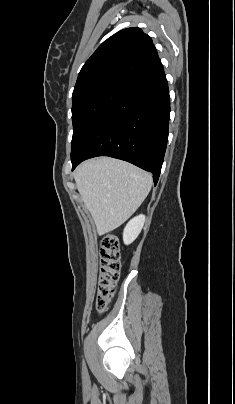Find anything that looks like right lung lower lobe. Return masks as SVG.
Wrapping results in <instances>:
<instances>
[{
    "label": "right lung lower lobe",
    "mask_w": 235,
    "mask_h": 404,
    "mask_svg": "<svg viewBox=\"0 0 235 404\" xmlns=\"http://www.w3.org/2000/svg\"><path fill=\"white\" fill-rule=\"evenodd\" d=\"M170 98L163 66L130 81L119 100L71 154L72 170L82 161L110 156L128 161L159 179L168 140Z\"/></svg>",
    "instance_id": "98d812e1"
}]
</instances>
